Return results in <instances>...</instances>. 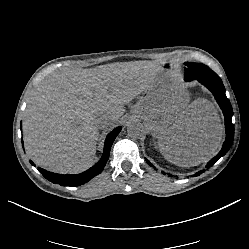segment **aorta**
I'll use <instances>...</instances> for the list:
<instances>
[{"mask_svg":"<svg viewBox=\"0 0 249 249\" xmlns=\"http://www.w3.org/2000/svg\"><path fill=\"white\" fill-rule=\"evenodd\" d=\"M127 132L130 137L140 138L145 134V129L141 123L133 121L128 124Z\"/></svg>","mask_w":249,"mask_h":249,"instance_id":"obj_1","label":"aorta"}]
</instances>
